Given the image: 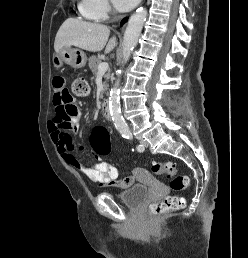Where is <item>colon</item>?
I'll return each instance as SVG.
<instances>
[{"mask_svg":"<svg viewBox=\"0 0 248 258\" xmlns=\"http://www.w3.org/2000/svg\"><path fill=\"white\" fill-rule=\"evenodd\" d=\"M72 93L78 97L87 96L89 93V86L85 79L75 78L72 82ZM77 113V108L71 106L67 111L58 114L55 117L57 124L61 128L71 127V116ZM93 148L95 154L98 156L106 154L110 149L109 132L105 127L99 126L93 130L92 133ZM118 144L117 142L115 143ZM111 153L110 151L108 152ZM117 155L116 153L114 154ZM119 168H128V161H119ZM152 170L155 174L166 176L170 179V187L174 190H183L189 184L187 176L177 175V165L174 162H155L152 165ZM185 204V198L180 195H167L159 201L152 203L149 207L152 216H161L165 213L181 209Z\"/></svg>","mask_w":248,"mask_h":258,"instance_id":"colon-1","label":"colon"}]
</instances>
